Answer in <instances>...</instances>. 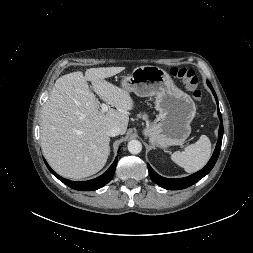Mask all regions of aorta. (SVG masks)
<instances>
[{
  "instance_id": "obj_1",
  "label": "aorta",
  "mask_w": 253,
  "mask_h": 253,
  "mask_svg": "<svg viewBox=\"0 0 253 253\" xmlns=\"http://www.w3.org/2000/svg\"><path fill=\"white\" fill-rule=\"evenodd\" d=\"M127 147L131 154H139L142 151V144L139 140L129 141Z\"/></svg>"
}]
</instances>
